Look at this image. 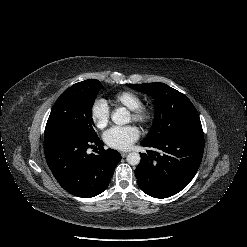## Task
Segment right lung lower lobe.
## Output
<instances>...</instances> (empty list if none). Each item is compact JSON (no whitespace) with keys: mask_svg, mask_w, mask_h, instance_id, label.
Segmentation results:
<instances>
[{"mask_svg":"<svg viewBox=\"0 0 247 247\" xmlns=\"http://www.w3.org/2000/svg\"><path fill=\"white\" fill-rule=\"evenodd\" d=\"M95 145L97 154H88ZM102 146L98 136L87 138L68 131L44 135L45 157L54 177L67 192L82 198L102 193L121 160L119 152Z\"/></svg>","mask_w":247,"mask_h":247,"instance_id":"right-lung-lower-lobe-1","label":"right lung lower lobe"}]
</instances>
